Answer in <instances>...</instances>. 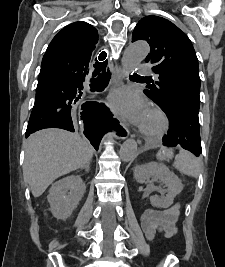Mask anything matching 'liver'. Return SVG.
Here are the masks:
<instances>
[{"label": "liver", "instance_id": "liver-1", "mask_svg": "<svg viewBox=\"0 0 225 267\" xmlns=\"http://www.w3.org/2000/svg\"><path fill=\"white\" fill-rule=\"evenodd\" d=\"M23 177L34 197L41 196L50 184L90 163L93 149L80 137L60 129H44L25 142Z\"/></svg>", "mask_w": 225, "mask_h": 267}]
</instances>
